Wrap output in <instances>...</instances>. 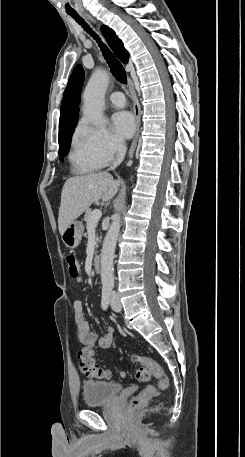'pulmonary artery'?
<instances>
[{"label":"pulmonary artery","mask_w":245,"mask_h":457,"mask_svg":"<svg viewBox=\"0 0 245 457\" xmlns=\"http://www.w3.org/2000/svg\"><path fill=\"white\" fill-rule=\"evenodd\" d=\"M108 100L117 108L123 107L125 104V98L121 92H114L110 94L108 96Z\"/></svg>","instance_id":"pulmonary-artery-1"}]
</instances>
